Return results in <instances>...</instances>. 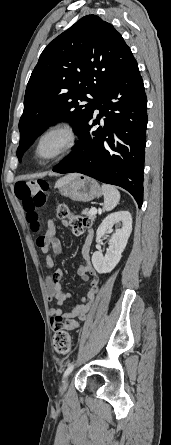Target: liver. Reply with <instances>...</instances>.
I'll return each mask as SVG.
<instances>
[{"mask_svg": "<svg viewBox=\"0 0 171 445\" xmlns=\"http://www.w3.org/2000/svg\"><path fill=\"white\" fill-rule=\"evenodd\" d=\"M75 177H77V175H70V176H67L66 179H73Z\"/></svg>", "mask_w": 171, "mask_h": 445, "instance_id": "liver-1", "label": "liver"}]
</instances>
